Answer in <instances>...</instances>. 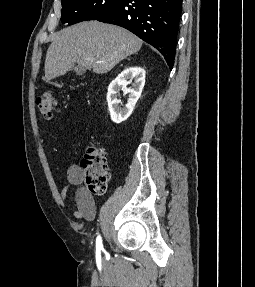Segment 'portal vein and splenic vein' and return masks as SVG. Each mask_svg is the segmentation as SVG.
Segmentation results:
<instances>
[{"label":"portal vein and splenic vein","mask_w":255,"mask_h":287,"mask_svg":"<svg viewBox=\"0 0 255 287\" xmlns=\"http://www.w3.org/2000/svg\"><path fill=\"white\" fill-rule=\"evenodd\" d=\"M89 60H92V58H88V62H89Z\"/></svg>","instance_id":"portal-vein-and-splenic-vein-1"}]
</instances>
